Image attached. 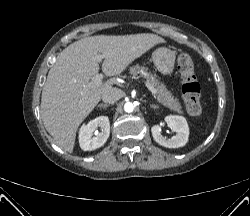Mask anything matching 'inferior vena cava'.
<instances>
[{
	"instance_id": "inferior-vena-cava-1",
	"label": "inferior vena cava",
	"mask_w": 250,
	"mask_h": 216,
	"mask_svg": "<svg viewBox=\"0 0 250 216\" xmlns=\"http://www.w3.org/2000/svg\"><path fill=\"white\" fill-rule=\"evenodd\" d=\"M123 91L118 88H109L103 94L101 99L105 103H114L118 101L121 97H123Z\"/></svg>"
}]
</instances>
